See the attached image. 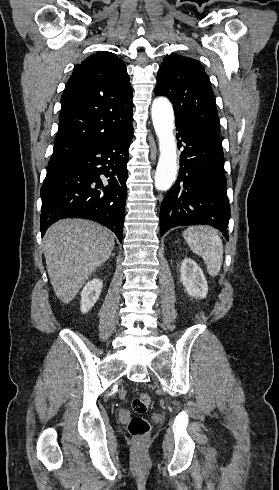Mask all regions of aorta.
<instances>
[{"mask_svg":"<svg viewBox=\"0 0 279 490\" xmlns=\"http://www.w3.org/2000/svg\"><path fill=\"white\" fill-rule=\"evenodd\" d=\"M153 126L159 141L160 156L155 172V188L167 191L177 176V145L174 136V111L170 101L158 97L151 108Z\"/></svg>","mask_w":279,"mask_h":490,"instance_id":"aorta-1","label":"aorta"}]
</instances>
